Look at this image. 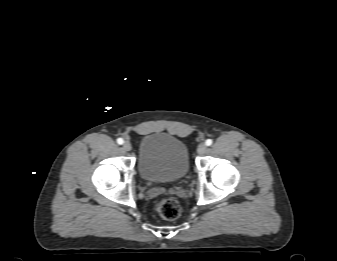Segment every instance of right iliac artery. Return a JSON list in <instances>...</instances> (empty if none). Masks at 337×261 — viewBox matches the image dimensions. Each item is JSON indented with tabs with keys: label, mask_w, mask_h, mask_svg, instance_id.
Listing matches in <instances>:
<instances>
[{
	"label": "right iliac artery",
	"mask_w": 337,
	"mask_h": 261,
	"mask_svg": "<svg viewBox=\"0 0 337 261\" xmlns=\"http://www.w3.org/2000/svg\"><path fill=\"white\" fill-rule=\"evenodd\" d=\"M117 143L121 145V144L124 143V140H123L122 138H118V139H117Z\"/></svg>",
	"instance_id": "82829eb1"
}]
</instances>
